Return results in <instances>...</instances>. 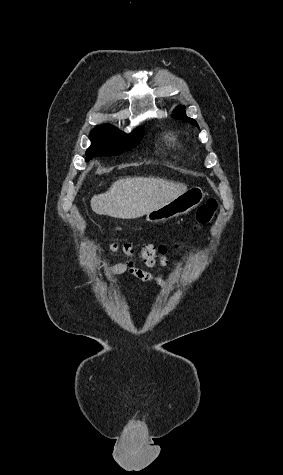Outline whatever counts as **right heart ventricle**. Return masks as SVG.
Here are the masks:
<instances>
[{"label": "right heart ventricle", "instance_id": "e07e8e85", "mask_svg": "<svg viewBox=\"0 0 283 475\" xmlns=\"http://www.w3.org/2000/svg\"><path fill=\"white\" fill-rule=\"evenodd\" d=\"M168 140L174 147H176L178 149H183L184 148V144H183L182 140L180 139V137L177 134H175V133L169 134Z\"/></svg>", "mask_w": 283, "mask_h": 475}]
</instances>
